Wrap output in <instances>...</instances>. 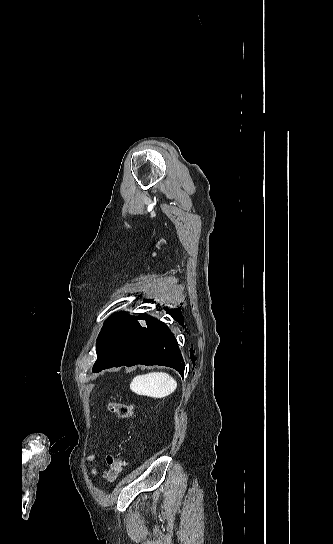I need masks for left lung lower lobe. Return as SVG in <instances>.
Returning <instances> with one entry per match:
<instances>
[{"label": "left lung lower lobe", "instance_id": "obj_1", "mask_svg": "<svg viewBox=\"0 0 333 544\" xmlns=\"http://www.w3.org/2000/svg\"><path fill=\"white\" fill-rule=\"evenodd\" d=\"M163 365L176 369L182 376L184 361L178 343L167 325L158 322L151 328L138 327L129 344L106 351L103 362L93 372L122 365Z\"/></svg>", "mask_w": 333, "mask_h": 544}]
</instances>
